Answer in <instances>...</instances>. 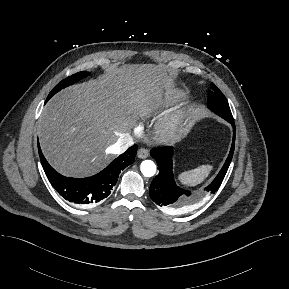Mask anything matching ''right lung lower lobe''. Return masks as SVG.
Instances as JSON below:
<instances>
[{"instance_id": "1", "label": "right lung lower lobe", "mask_w": 289, "mask_h": 289, "mask_svg": "<svg viewBox=\"0 0 289 289\" xmlns=\"http://www.w3.org/2000/svg\"><path fill=\"white\" fill-rule=\"evenodd\" d=\"M38 151L45 174L55 190L69 202L92 205L108 197L120 172L134 162L137 145L130 147L100 173L83 179L62 176L46 161L39 145Z\"/></svg>"}]
</instances>
